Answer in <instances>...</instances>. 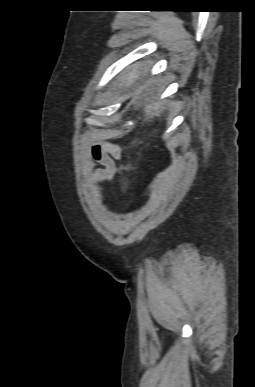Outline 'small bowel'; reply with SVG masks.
<instances>
[{
  "mask_svg": "<svg viewBox=\"0 0 255 387\" xmlns=\"http://www.w3.org/2000/svg\"><path fill=\"white\" fill-rule=\"evenodd\" d=\"M121 147L114 143H96L85 149L84 167L91 184H99L112 180L118 168L116 159L121 157ZM127 180L122 183L121 190L126 192Z\"/></svg>",
  "mask_w": 255,
  "mask_h": 387,
  "instance_id": "c3829d8e",
  "label": "small bowel"
}]
</instances>
